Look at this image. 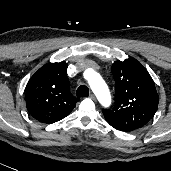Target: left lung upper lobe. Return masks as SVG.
<instances>
[{
  "label": "left lung upper lobe",
  "mask_w": 171,
  "mask_h": 171,
  "mask_svg": "<svg viewBox=\"0 0 171 171\" xmlns=\"http://www.w3.org/2000/svg\"><path fill=\"white\" fill-rule=\"evenodd\" d=\"M115 105L102 112L106 121L120 131L145 126L157 111L159 97L154 81L144 66L133 58L112 65Z\"/></svg>",
  "instance_id": "1"
}]
</instances>
